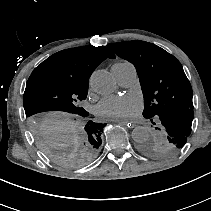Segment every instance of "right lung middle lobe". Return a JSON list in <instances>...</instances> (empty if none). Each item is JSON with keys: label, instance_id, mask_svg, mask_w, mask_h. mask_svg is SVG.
<instances>
[{"label": "right lung middle lobe", "instance_id": "dd1d6c3e", "mask_svg": "<svg viewBox=\"0 0 211 211\" xmlns=\"http://www.w3.org/2000/svg\"><path fill=\"white\" fill-rule=\"evenodd\" d=\"M87 92L88 82L71 78L40 74L27 81L23 104L32 133L41 151L59 166H86L100 152L105 124L87 120L89 113L80 106ZM59 111L80 116L78 122L69 121ZM79 134L81 144L76 149L64 146Z\"/></svg>", "mask_w": 211, "mask_h": 211}]
</instances>
